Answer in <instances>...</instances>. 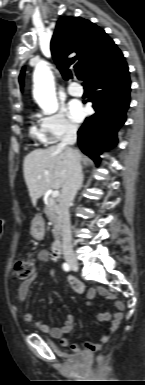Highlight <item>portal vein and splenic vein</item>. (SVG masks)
<instances>
[{
  "label": "portal vein and splenic vein",
  "instance_id": "obj_1",
  "mask_svg": "<svg viewBox=\"0 0 145 385\" xmlns=\"http://www.w3.org/2000/svg\"><path fill=\"white\" fill-rule=\"evenodd\" d=\"M40 178V177H39ZM59 194H60V192L58 191V190H54L53 192H52V198H57L58 196H59Z\"/></svg>",
  "mask_w": 145,
  "mask_h": 385
}]
</instances>
